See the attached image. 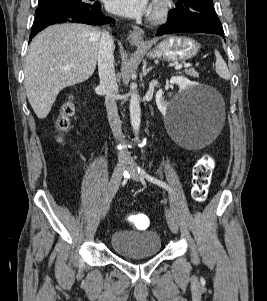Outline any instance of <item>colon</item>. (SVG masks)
<instances>
[{"label":"colon","mask_w":267,"mask_h":301,"mask_svg":"<svg viewBox=\"0 0 267 301\" xmlns=\"http://www.w3.org/2000/svg\"><path fill=\"white\" fill-rule=\"evenodd\" d=\"M73 112V103L66 101L62 105L56 120V129L59 136L68 129ZM215 165L214 158L205 155L194 166L192 174V197L195 201L204 202L207 199ZM129 220L138 229H144L149 225V219L143 213H134L129 216Z\"/></svg>","instance_id":"obj_1"}]
</instances>
